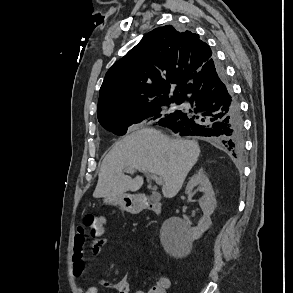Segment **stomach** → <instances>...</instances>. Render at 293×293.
Masks as SVG:
<instances>
[{
	"label": "stomach",
	"instance_id": "obj_1",
	"mask_svg": "<svg viewBox=\"0 0 293 293\" xmlns=\"http://www.w3.org/2000/svg\"><path fill=\"white\" fill-rule=\"evenodd\" d=\"M105 204H113L120 206L123 210L131 212L137 208L138 204L135 201V198L126 193L119 194L113 197H105L103 199Z\"/></svg>",
	"mask_w": 293,
	"mask_h": 293
}]
</instances>
